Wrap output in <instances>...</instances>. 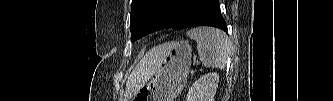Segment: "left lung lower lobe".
I'll list each match as a JSON object with an SVG mask.
<instances>
[{
  "label": "left lung lower lobe",
  "mask_w": 333,
  "mask_h": 101,
  "mask_svg": "<svg viewBox=\"0 0 333 101\" xmlns=\"http://www.w3.org/2000/svg\"><path fill=\"white\" fill-rule=\"evenodd\" d=\"M183 6V19L179 21V30L193 26H212L228 29L221 15L219 0H181Z\"/></svg>",
  "instance_id": "0a47b994"
}]
</instances>
